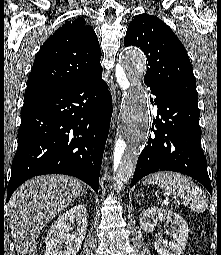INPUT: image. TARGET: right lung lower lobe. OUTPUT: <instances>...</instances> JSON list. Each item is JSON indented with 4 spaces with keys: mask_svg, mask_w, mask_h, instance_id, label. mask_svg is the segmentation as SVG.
<instances>
[{
    "mask_svg": "<svg viewBox=\"0 0 221 255\" xmlns=\"http://www.w3.org/2000/svg\"><path fill=\"white\" fill-rule=\"evenodd\" d=\"M102 69L57 88L25 95L7 201L26 180L60 173L98 192L112 115V97Z\"/></svg>",
    "mask_w": 221,
    "mask_h": 255,
    "instance_id": "1",
    "label": "right lung lower lobe"
}]
</instances>
